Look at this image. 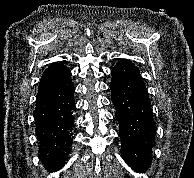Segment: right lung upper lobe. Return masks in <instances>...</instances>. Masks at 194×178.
Segmentation results:
<instances>
[{
	"mask_svg": "<svg viewBox=\"0 0 194 178\" xmlns=\"http://www.w3.org/2000/svg\"><path fill=\"white\" fill-rule=\"evenodd\" d=\"M68 68L63 64L52 63L43 73L40 81L52 79L62 73H64Z\"/></svg>",
	"mask_w": 194,
	"mask_h": 178,
	"instance_id": "obj_1",
	"label": "right lung upper lobe"
}]
</instances>
